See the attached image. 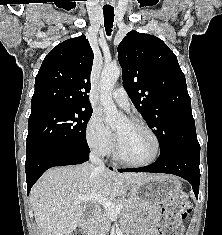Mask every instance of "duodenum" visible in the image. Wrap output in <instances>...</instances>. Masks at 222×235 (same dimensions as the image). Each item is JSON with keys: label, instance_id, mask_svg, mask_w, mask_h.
<instances>
[{"label": "duodenum", "instance_id": "1", "mask_svg": "<svg viewBox=\"0 0 222 235\" xmlns=\"http://www.w3.org/2000/svg\"><path fill=\"white\" fill-rule=\"evenodd\" d=\"M100 212L99 208H94L93 210V216L98 215ZM85 235H93L92 231H91V227L89 225L85 226Z\"/></svg>", "mask_w": 222, "mask_h": 235}]
</instances>
